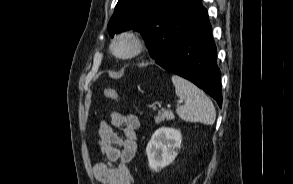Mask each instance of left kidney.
Segmentation results:
<instances>
[{"label":"left kidney","instance_id":"5707ae66","mask_svg":"<svg viewBox=\"0 0 293 184\" xmlns=\"http://www.w3.org/2000/svg\"><path fill=\"white\" fill-rule=\"evenodd\" d=\"M181 131L162 127L155 131L146 147L150 169L159 171L171 164L181 146Z\"/></svg>","mask_w":293,"mask_h":184}]
</instances>
